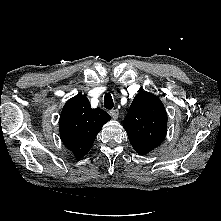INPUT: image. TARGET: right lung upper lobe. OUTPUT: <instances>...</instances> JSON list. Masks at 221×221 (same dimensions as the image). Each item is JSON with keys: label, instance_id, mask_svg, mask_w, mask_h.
<instances>
[{"label": "right lung upper lobe", "instance_id": "obj_1", "mask_svg": "<svg viewBox=\"0 0 221 221\" xmlns=\"http://www.w3.org/2000/svg\"><path fill=\"white\" fill-rule=\"evenodd\" d=\"M110 118L104 110L92 109L88 98L78 94L66 102L61 112L59 122L61 140L78 158L84 157Z\"/></svg>", "mask_w": 221, "mask_h": 221}]
</instances>
